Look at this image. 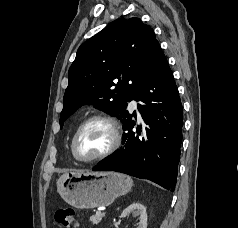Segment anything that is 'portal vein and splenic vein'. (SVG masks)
Here are the masks:
<instances>
[{
	"label": "portal vein and splenic vein",
	"mask_w": 238,
	"mask_h": 228,
	"mask_svg": "<svg viewBox=\"0 0 238 228\" xmlns=\"http://www.w3.org/2000/svg\"><path fill=\"white\" fill-rule=\"evenodd\" d=\"M96 214L97 215H103L104 213H102L101 211H97Z\"/></svg>",
	"instance_id": "obj_1"
}]
</instances>
